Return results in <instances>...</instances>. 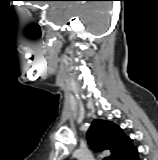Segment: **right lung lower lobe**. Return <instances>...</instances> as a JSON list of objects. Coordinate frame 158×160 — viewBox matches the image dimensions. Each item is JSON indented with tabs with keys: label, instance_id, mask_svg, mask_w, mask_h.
<instances>
[{
	"label": "right lung lower lobe",
	"instance_id": "1",
	"mask_svg": "<svg viewBox=\"0 0 158 160\" xmlns=\"http://www.w3.org/2000/svg\"><path fill=\"white\" fill-rule=\"evenodd\" d=\"M121 160H139L137 149L133 147Z\"/></svg>",
	"mask_w": 158,
	"mask_h": 160
}]
</instances>
